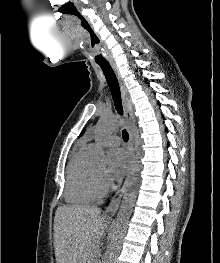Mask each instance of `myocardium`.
<instances>
[{
    "label": "myocardium",
    "instance_id": "myocardium-1",
    "mask_svg": "<svg viewBox=\"0 0 220 263\" xmlns=\"http://www.w3.org/2000/svg\"><path fill=\"white\" fill-rule=\"evenodd\" d=\"M91 180L93 190L98 196H103L108 192L109 185L107 184L105 178L100 177L96 173L95 169L92 170Z\"/></svg>",
    "mask_w": 220,
    "mask_h": 263
}]
</instances>
